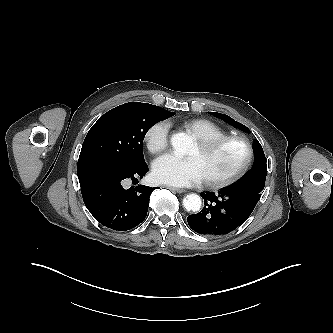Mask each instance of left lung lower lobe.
Wrapping results in <instances>:
<instances>
[{
  "label": "left lung lower lobe",
  "mask_w": 333,
  "mask_h": 333,
  "mask_svg": "<svg viewBox=\"0 0 333 333\" xmlns=\"http://www.w3.org/2000/svg\"><path fill=\"white\" fill-rule=\"evenodd\" d=\"M204 208L189 215V226L206 236L227 234L243 224L254 210L260 197L243 191L223 188L218 193H202Z\"/></svg>",
  "instance_id": "obj_1"
}]
</instances>
